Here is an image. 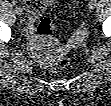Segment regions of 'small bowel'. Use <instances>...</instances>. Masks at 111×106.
Here are the masks:
<instances>
[{
  "label": "small bowel",
  "instance_id": "c3829d8e",
  "mask_svg": "<svg viewBox=\"0 0 111 106\" xmlns=\"http://www.w3.org/2000/svg\"><path fill=\"white\" fill-rule=\"evenodd\" d=\"M51 4V1H37V0H27L24 2L25 8L28 12V35L33 38L34 37V28L33 23L35 19L41 15L46 8Z\"/></svg>",
  "mask_w": 111,
  "mask_h": 106
}]
</instances>
